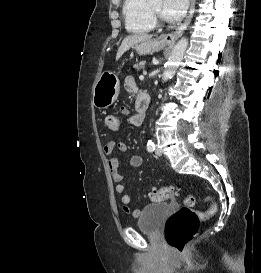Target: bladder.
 Returning <instances> with one entry per match:
<instances>
[{"mask_svg": "<svg viewBox=\"0 0 261 273\" xmlns=\"http://www.w3.org/2000/svg\"><path fill=\"white\" fill-rule=\"evenodd\" d=\"M168 211L169 205L167 203L146 205L137 220L138 228L147 234H157Z\"/></svg>", "mask_w": 261, "mask_h": 273, "instance_id": "bladder-1", "label": "bladder"}]
</instances>
